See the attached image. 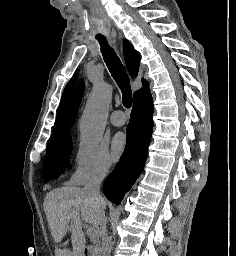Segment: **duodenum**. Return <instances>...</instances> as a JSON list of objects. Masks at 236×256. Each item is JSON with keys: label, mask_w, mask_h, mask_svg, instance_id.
<instances>
[{"label": "duodenum", "mask_w": 236, "mask_h": 256, "mask_svg": "<svg viewBox=\"0 0 236 256\" xmlns=\"http://www.w3.org/2000/svg\"><path fill=\"white\" fill-rule=\"evenodd\" d=\"M90 255H91L90 247L85 245L83 247L81 256H90Z\"/></svg>", "instance_id": "1"}]
</instances>
